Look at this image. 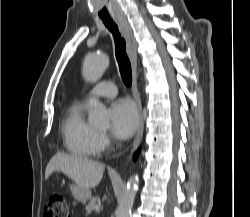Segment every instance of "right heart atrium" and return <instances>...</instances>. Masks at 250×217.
<instances>
[{"label": "right heart atrium", "mask_w": 250, "mask_h": 217, "mask_svg": "<svg viewBox=\"0 0 250 217\" xmlns=\"http://www.w3.org/2000/svg\"><path fill=\"white\" fill-rule=\"evenodd\" d=\"M111 139L106 133H98L97 147L99 152L108 150L111 147Z\"/></svg>", "instance_id": "d8ad5b80"}]
</instances>
